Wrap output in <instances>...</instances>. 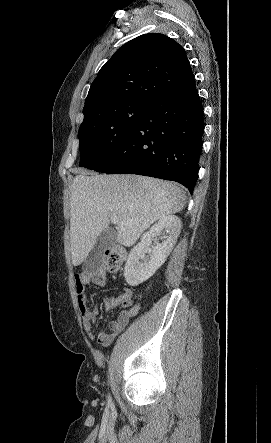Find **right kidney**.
Masks as SVG:
<instances>
[{"instance_id": "right-kidney-1", "label": "right kidney", "mask_w": 271, "mask_h": 443, "mask_svg": "<svg viewBox=\"0 0 271 443\" xmlns=\"http://www.w3.org/2000/svg\"><path fill=\"white\" fill-rule=\"evenodd\" d=\"M181 229V220L178 216H163L159 222L150 227L149 231L143 233L141 241L132 247L125 263L124 275L129 285L142 283L151 277L160 265H163L172 251ZM157 235H160L158 239H162L161 243H159ZM151 241H154V245L152 249H148L150 259L140 261V259H144L145 247L150 245Z\"/></svg>"}]
</instances>
